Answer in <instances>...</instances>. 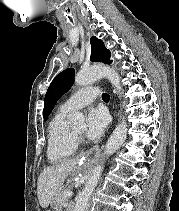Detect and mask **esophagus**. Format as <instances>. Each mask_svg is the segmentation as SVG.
I'll list each match as a JSON object with an SVG mask.
<instances>
[{"label": "esophagus", "instance_id": "esophagus-1", "mask_svg": "<svg viewBox=\"0 0 179 211\" xmlns=\"http://www.w3.org/2000/svg\"><path fill=\"white\" fill-rule=\"evenodd\" d=\"M99 147H88L87 154H84V159H88V163H99Z\"/></svg>", "mask_w": 179, "mask_h": 211}]
</instances>
